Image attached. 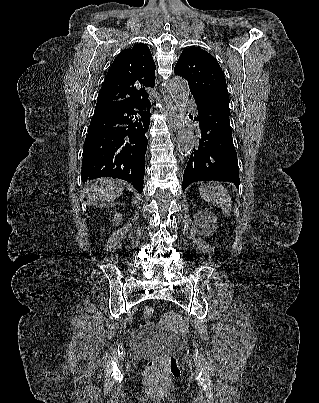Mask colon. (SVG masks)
<instances>
[{"label":"colon","instance_id":"1","mask_svg":"<svg viewBox=\"0 0 319 403\" xmlns=\"http://www.w3.org/2000/svg\"><path fill=\"white\" fill-rule=\"evenodd\" d=\"M154 315L153 307H146L143 311V320L141 326H148L152 323V318ZM148 368L153 372H170L174 374L177 371L176 368V357L173 353H170L165 358L153 359L149 362Z\"/></svg>","mask_w":319,"mask_h":403}]
</instances>
